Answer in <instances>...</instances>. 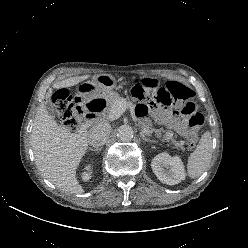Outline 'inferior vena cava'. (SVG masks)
Returning <instances> with one entry per match:
<instances>
[{
    "instance_id": "inferior-vena-cava-1",
    "label": "inferior vena cava",
    "mask_w": 248,
    "mask_h": 248,
    "mask_svg": "<svg viewBox=\"0 0 248 248\" xmlns=\"http://www.w3.org/2000/svg\"><path fill=\"white\" fill-rule=\"evenodd\" d=\"M111 126L108 123H99L93 126L88 133V143L93 147L103 146L110 135Z\"/></svg>"
}]
</instances>
